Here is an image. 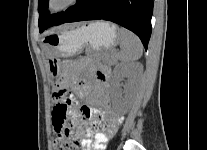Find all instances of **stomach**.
I'll use <instances>...</instances> for the list:
<instances>
[{
    "mask_svg": "<svg viewBox=\"0 0 207 150\" xmlns=\"http://www.w3.org/2000/svg\"><path fill=\"white\" fill-rule=\"evenodd\" d=\"M117 27L109 22L94 21L83 25H65L59 30H52L42 39L46 57L49 60L50 74L60 81L63 64L60 58H70L78 54L83 47L91 53L112 51L118 41Z\"/></svg>",
    "mask_w": 207,
    "mask_h": 150,
    "instance_id": "stomach-1",
    "label": "stomach"
}]
</instances>
